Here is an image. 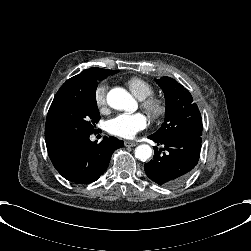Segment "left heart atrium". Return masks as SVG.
<instances>
[{"label": "left heart atrium", "mask_w": 251, "mask_h": 251, "mask_svg": "<svg viewBox=\"0 0 251 251\" xmlns=\"http://www.w3.org/2000/svg\"><path fill=\"white\" fill-rule=\"evenodd\" d=\"M148 124V118L144 113H122L108 120L107 131L113 135L130 138L144 129Z\"/></svg>", "instance_id": "1"}]
</instances>
